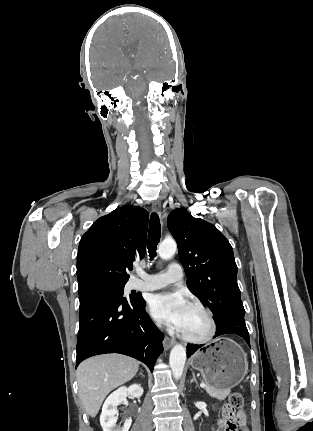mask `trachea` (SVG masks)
<instances>
[{
  "instance_id": "3493384b",
  "label": "trachea",
  "mask_w": 313,
  "mask_h": 431,
  "mask_svg": "<svg viewBox=\"0 0 313 431\" xmlns=\"http://www.w3.org/2000/svg\"><path fill=\"white\" fill-rule=\"evenodd\" d=\"M161 237L160 219L157 213H152L150 217L148 232V252L151 260L156 256V249Z\"/></svg>"
}]
</instances>
